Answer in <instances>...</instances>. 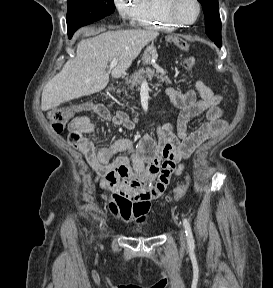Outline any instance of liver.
<instances>
[{
	"instance_id": "1",
	"label": "liver",
	"mask_w": 273,
	"mask_h": 288,
	"mask_svg": "<svg viewBox=\"0 0 273 288\" xmlns=\"http://www.w3.org/2000/svg\"><path fill=\"white\" fill-rule=\"evenodd\" d=\"M158 35L154 30H118L82 40L78 43L76 57L45 85L42 111L103 90L109 81L106 69L112 59L117 58L118 63L111 76L120 78L141 50Z\"/></svg>"
}]
</instances>
